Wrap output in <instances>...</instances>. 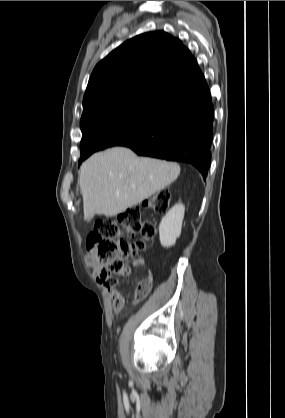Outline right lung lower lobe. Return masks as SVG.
<instances>
[{"instance_id":"obj_1","label":"right lung lower lobe","mask_w":285,"mask_h":418,"mask_svg":"<svg viewBox=\"0 0 285 418\" xmlns=\"http://www.w3.org/2000/svg\"><path fill=\"white\" fill-rule=\"evenodd\" d=\"M214 106L207 83L167 107L152 124L117 146L194 165L205 179L211 161Z\"/></svg>"}]
</instances>
